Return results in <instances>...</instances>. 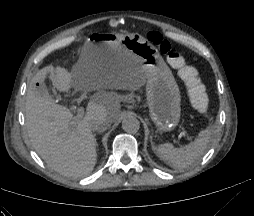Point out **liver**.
<instances>
[{
    "mask_svg": "<svg viewBox=\"0 0 254 216\" xmlns=\"http://www.w3.org/2000/svg\"><path fill=\"white\" fill-rule=\"evenodd\" d=\"M87 47H83L71 72L52 64L39 70L26 96V128L32 146L50 168L64 176H86L95 167L97 143L90 122L105 117L111 124L120 116L122 96L101 89L135 92L146 83L144 70L123 54L108 65L91 67L85 58ZM47 77L60 92L69 93L72 87L82 91L99 90L88 102L83 118H75L49 94H39L35 83L43 82Z\"/></svg>",
    "mask_w": 254,
    "mask_h": 216,
    "instance_id": "6515ba94",
    "label": "liver"
}]
</instances>
